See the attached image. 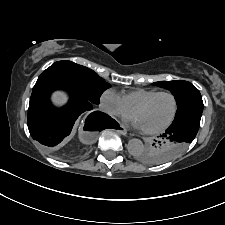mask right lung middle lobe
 <instances>
[{"instance_id":"1","label":"right lung middle lobe","mask_w":225,"mask_h":225,"mask_svg":"<svg viewBox=\"0 0 225 225\" xmlns=\"http://www.w3.org/2000/svg\"><path fill=\"white\" fill-rule=\"evenodd\" d=\"M43 73L59 74L72 80L86 92L88 98L94 103H99L102 93L110 87V84L93 70L71 61L55 62Z\"/></svg>"}]
</instances>
